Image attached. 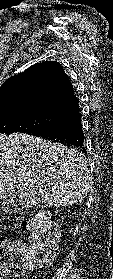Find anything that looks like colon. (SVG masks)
<instances>
[{
    "instance_id": "colon-1",
    "label": "colon",
    "mask_w": 113,
    "mask_h": 279,
    "mask_svg": "<svg viewBox=\"0 0 113 279\" xmlns=\"http://www.w3.org/2000/svg\"><path fill=\"white\" fill-rule=\"evenodd\" d=\"M23 224L27 235L26 244L14 248L0 237V274L11 272L15 277L23 276L31 260H46L55 254L59 232L52 226L47 214L40 213Z\"/></svg>"
}]
</instances>
